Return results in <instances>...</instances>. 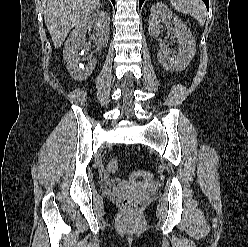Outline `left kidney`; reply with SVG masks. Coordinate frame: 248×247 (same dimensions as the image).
<instances>
[{
  "instance_id": "5707ae66",
  "label": "left kidney",
  "mask_w": 248,
  "mask_h": 247,
  "mask_svg": "<svg viewBox=\"0 0 248 247\" xmlns=\"http://www.w3.org/2000/svg\"><path fill=\"white\" fill-rule=\"evenodd\" d=\"M151 14L149 16V34L153 37H159L161 33V21H168L173 25L174 38L178 42V54L170 56L171 52L164 42L160 43V49L157 53L159 63L166 70L181 71L185 69L191 59L195 55V39L191 34L187 25L175 16L170 9L164 4L157 3L151 7Z\"/></svg>"
}]
</instances>
